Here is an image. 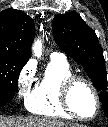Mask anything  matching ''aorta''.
Wrapping results in <instances>:
<instances>
[{"instance_id":"762f6f07","label":"aorta","mask_w":108,"mask_h":127,"mask_svg":"<svg viewBox=\"0 0 108 127\" xmlns=\"http://www.w3.org/2000/svg\"><path fill=\"white\" fill-rule=\"evenodd\" d=\"M32 52L35 57L40 58L42 55V42L40 39L34 41L32 46Z\"/></svg>"}]
</instances>
